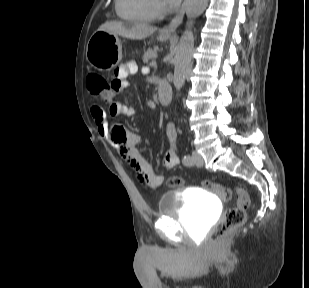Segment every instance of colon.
I'll return each mask as SVG.
<instances>
[{"label": "colon", "instance_id": "obj_1", "mask_svg": "<svg viewBox=\"0 0 309 288\" xmlns=\"http://www.w3.org/2000/svg\"><path fill=\"white\" fill-rule=\"evenodd\" d=\"M87 88L89 92L101 100L109 101L120 91L118 83H109L102 76L96 73L89 74L87 78ZM167 185L172 188L183 186V180L179 176L168 178ZM203 186L210 192L216 194L222 201L236 199V205L225 210L220 221L214 226L211 232L212 241H218L225 237L230 231L244 224L246 219V209L250 204L248 192L242 187H228L205 181Z\"/></svg>", "mask_w": 309, "mask_h": 288}]
</instances>
